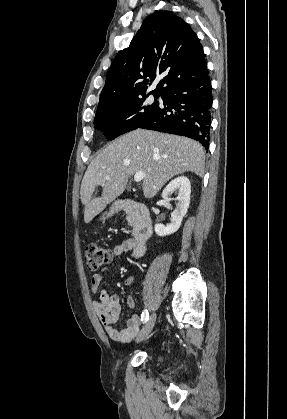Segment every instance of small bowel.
<instances>
[{
    "mask_svg": "<svg viewBox=\"0 0 287 419\" xmlns=\"http://www.w3.org/2000/svg\"><path fill=\"white\" fill-rule=\"evenodd\" d=\"M135 248L136 242L132 238H129L115 246L112 253L114 262L104 267L101 271L95 273L91 277V289L94 293L99 291L103 278L113 271L120 256L125 252L135 250ZM133 283L134 277L132 276L127 277L124 281L126 286H131ZM127 306L129 309H133L135 307V299L132 296L127 298ZM93 307L100 322L104 326L106 333L113 340L121 343L130 342L139 333L140 317L137 315L129 317L125 328L118 329L115 327V324L119 320L122 312L119 296L117 294H112L107 289H102L100 291V301H94Z\"/></svg>",
    "mask_w": 287,
    "mask_h": 419,
    "instance_id": "c3829d8e",
    "label": "small bowel"
}]
</instances>
